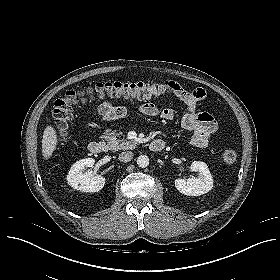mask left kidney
Segmentation results:
<instances>
[{"instance_id": "obj_1", "label": "left kidney", "mask_w": 280, "mask_h": 280, "mask_svg": "<svg viewBox=\"0 0 280 280\" xmlns=\"http://www.w3.org/2000/svg\"><path fill=\"white\" fill-rule=\"evenodd\" d=\"M191 171L198 172V177L187 180L176 179V189L187 196H200L213 188V178L206 163L194 161L190 165Z\"/></svg>"}]
</instances>
